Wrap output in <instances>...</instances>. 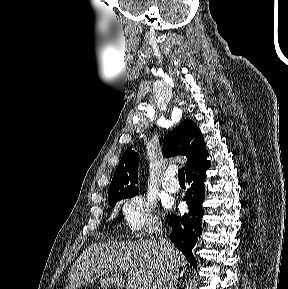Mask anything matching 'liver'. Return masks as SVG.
<instances>
[{
    "label": "liver",
    "instance_id": "6515ba94",
    "mask_svg": "<svg viewBox=\"0 0 288 289\" xmlns=\"http://www.w3.org/2000/svg\"><path fill=\"white\" fill-rule=\"evenodd\" d=\"M178 265L184 257L173 245ZM164 261L160 244L154 241L100 242L88 246L73 265L66 289H76L91 282L94 274H109L100 280L102 287H124L122 272H127V289H160Z\"/></svg>",
    "mask_w": 288,
    "mask_h": 289
}]
</instances>
